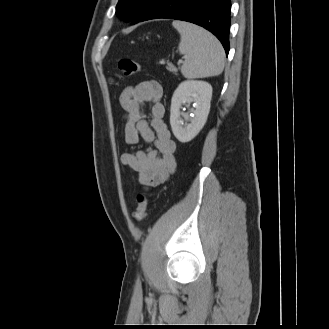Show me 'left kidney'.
<instances>
[{
	"label": "left kidney",
	"instance_id": "obj_1",
	"mask_svg": "<svg viewBox=\"0 0 329 329\" xmlns=\"http://www.w3.org/2000/svg\"><path fill=\"white\" fill-rule=\"evenodd\" d=\"M212 97V86L205 81L187 80L175 90L170 109V125L174 136L182 143L191 141L206 123ZM194 103L193 117L189 124L181 120L182 103Z\"/></svg>",
	"mask_w": 329,
	"mask_h": 329
}]
</instances>
